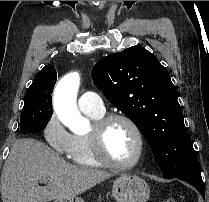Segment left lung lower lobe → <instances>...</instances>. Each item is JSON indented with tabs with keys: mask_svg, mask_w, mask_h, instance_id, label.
<instances>
[{
	"mask_svg": "<svg viewBox=\"0 0 209 202\" xmlns=\"http://www.w3.org/2000/svg\"><path fill=\"white\" fill-rule=\"evenodd\" d=\"M175 178L188 182L189 184L194 186L201 193L203 199H205V188L201 177L199 165L189 169L183 174L175 176Z\"/></svg>",
	"mask_w": 209,
	"mask_h": 202,
	"instance_id": "0a47b994",
	"label": "left lung lower lobe"
}]
</instances>
